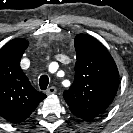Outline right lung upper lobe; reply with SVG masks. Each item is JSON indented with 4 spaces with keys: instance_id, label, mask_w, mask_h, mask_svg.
Wrapping results in <instances>:
<instances>
[{
    "instance_id": "right-lung-upper-lobe-1",
    "label": "right lung upper lobe",
    "mask_w": 133,
    "mask_h": 133,
    "mask_svg": "<svg viewBox=\"0 0 133 133\" xmlns=\"http://www.w3.org/2000/svg\"><path fill=\"white\" fill-rule=\"evenodd\" d=\"M28 41L16 38L0 49V116L19 123L35 110L46 95L36 91L20 67Z\"/></svg>"
}]
</instances>
